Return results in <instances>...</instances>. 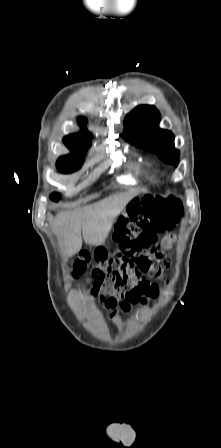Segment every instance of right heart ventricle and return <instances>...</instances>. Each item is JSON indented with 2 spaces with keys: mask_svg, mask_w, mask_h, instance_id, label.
I'll return each mask as SVG.
<instances>
[{
  "mask_svg": "<svg viewBox=\"0 0 221 448\" xmlns=\"http://www.w3.org/2000/svg\"><path fill=\"white\" fill-rule=\"evenodd\" d=\"M120 180H121V182L126 183V184L135 183V179L131 175L123 176Z\"/></svg>",
  "mask_w": 221,
  "mask_h": 448,
  "instance_id": "e07e8e85",
  "label": "right heart ventricle"
}]
</instances>
